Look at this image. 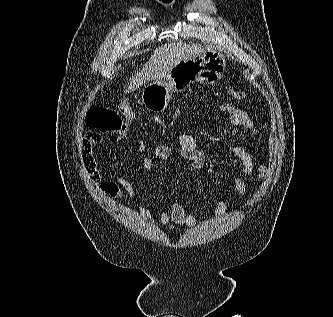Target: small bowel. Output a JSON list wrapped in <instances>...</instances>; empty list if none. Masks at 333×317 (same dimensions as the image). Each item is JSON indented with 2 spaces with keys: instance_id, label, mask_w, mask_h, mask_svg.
<instances>
[{
  "instance_id": "c3829d8e",
  "label": "small bowel",
  "mask_w": 333,
  "mask_h": 317,
  "mask_svg": "<svg viewBox=\"0 0 333 317\" xmlns=\"http://www.w3.org/2000/svg\"><path fill=\"white\" fill-rule=\"evenodd\" d=\"M221 111L229 116V123L234 126H241L250 130L253 134L256 133L255 124L250 115L233 105L223 103L220 105ZM126 136H108V140L115 142L120 139H126ZM104 143L103 137L98 133H87L82 140L81 147V160L88 171L90 182L98 188V190L112 198L121 200L126 193L132 201L136 200V182L142 173L151 170L154 166V160L166 163L172 157V149L167 145H158L154 148L152 156L144 157L139 167L132 173L130 179L123 177H113L109 180H103L101 172L97 166L93 154V147L102 145ZM138 150L145 149L142 141H136ZM221 151L234 158L242 164V170L245 175L243 178L239 174L233 176V187L240 200H242L247 192L248 183H254L257 179L265 177L266 167L264 165L257 166L250 154V152L239 145L224 146ZM178 154L179 156L193 169H201L205 166L206 155L202 151L196 139L185 132L180 133L178 137ZM226 212V204L223 199H218L215 204L214 216L216 219H221ZM148 214V212H146ZM159 223L161 225L175 224L186 225L188 227H196L197 220L194 214L186 211L184 206L175 201L171 207L163 208Z\"/></svg>"
}]
</instances>
